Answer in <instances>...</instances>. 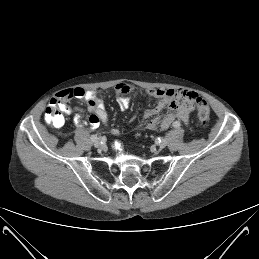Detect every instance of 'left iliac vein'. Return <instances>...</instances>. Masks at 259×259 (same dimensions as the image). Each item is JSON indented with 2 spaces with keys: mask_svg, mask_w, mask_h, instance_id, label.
<instances>
[{
  "mask_svg": "<svg viewBox=\"0 0 259 259\" xmlns=\"http://www.w3.org/2000/svg\"><path fill=\"white\" fill-rule=\"evenodd\" d=\"M167 143H168V141H167V139H162L161 140V142L159 143V147L160 148H165L166 146H167Z\"/></svg>",
  "mask_w": 259,
  "mask_h": 259,
  "instance_id": "obj_1",
  "label": "left iliac vein"
}]
</instances>
